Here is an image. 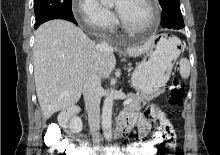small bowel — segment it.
I'll return each instance as SVG.
<instances>
[{
  "label": "small bowel",
  "mask_w": 220,
  "mask_h": 155,
  "mask_svg": "<svg viewBox=\"0 0 220 155\" xmlns=\"http://www.w3.org/2000/svg\"><path fill=\"white\" fill-rule=\"evenodd\" d=\"M121 120L127 125L128 133L136 127L142 138H145L150 134L151 123L158 120V129H162L163 135H166L165 144L172 143L174 145L175 132L173 126L163 112L159 110V105H146V112L144 114L125 113L121 116ZM151 139L145 142H150ZM158 145L161 144H155L154 147H139L137 145H131L127 149V155H153L156 154V148Z\"/></svg>",
  "instance_id": "small-bowel-1"
}]
</instances>
